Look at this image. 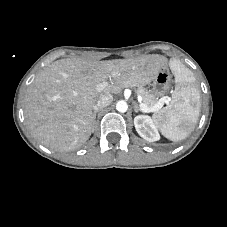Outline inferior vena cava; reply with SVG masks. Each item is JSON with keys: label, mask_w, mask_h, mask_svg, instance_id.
Masks as SVG:
<instances>
[{"label": "inferior vena cava", "mask_w": 227, "mask_h": 227, "mask_svg": "<svg viewBox=\"0 0 227 227\" xmlns=\"http://www.w3.org/2000/svg\"><path fill=\"white\" fill-rule=\"evenodd\" d=\"M113 101V96L112 94H106L103 95L97 102L96 104H94L93 109L95 111L102 109L104 107H107L108 105H110Z\"/></svg>", "instance_id": "inferior-vena-cava-1"}]
</instances>
